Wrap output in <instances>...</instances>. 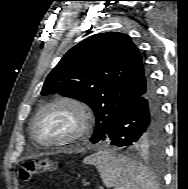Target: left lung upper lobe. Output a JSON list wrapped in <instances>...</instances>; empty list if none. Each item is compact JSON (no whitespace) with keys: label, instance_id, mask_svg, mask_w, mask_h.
<instances>
[{"label":"left lung upper lobe","instance_id":"left-lung-upper-lobe-1","mask_svg":"<svg viewBox=\"0 0 188 189\" xmlns=\"http://www.w3.org/2000/svg\"><path fill=\"white\" fill-rule=\"evenodd\" d=\"M149 82L146 64L131 38L108 32L71 48L46 78L41 94L59 93L88 104L96 117L90 141L97 143ZM160 144L161 136L144 138L136 148H157Z\"/></svg>","mask_w":188,"mask_h":189}]
</instances>
